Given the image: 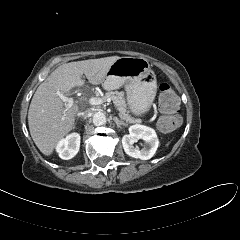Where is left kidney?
<instances>
[{"label": "left kidney", "mask_w": 240, "mask_h": 240, "mask_svg": "<svg viewBox=\"0 0 240 240\" xmlns=\"http://www.w3.org/2000/svg\"><path fill=\"white\" fill-rule=\"evenodd\" d=\"M139 139L145 141L142 149L134 147V143ZM122 145L127 155L133 158L148 160L155 154L159 140L154 129L144 125H132L129 128V134L124 135L122 138Z\"/></svg>", "instance_id": "left-kidney-1"}]
</instances>
